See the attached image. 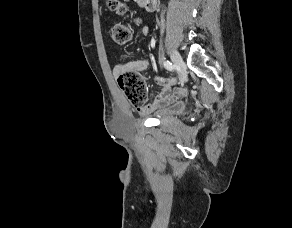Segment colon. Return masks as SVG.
I'll use <instances>...</instances> for the list:
<instances>
[{
    "instance_id": "obj_1",
    "label": "colon",
    "mask_w": 292,
    "mask_h": 228,
    "mask_svg": "<svg viewBox=\"0 0 292 228\" xmlns=\"http://www.w3.org/2000/svg\"><path fill=\"white\" fill-rule=\"evenodd\" d=\"M108 7L119 14H123L128 10L126 0H107ZM132 29L128 24L117 23L110 27L109 36L111 41L116 45H124L130 39ZM119 87L126 95L129 102L140 108L144 106L147 91L143 77L136 71L129 70L120 74L117 78Z\"/></svg>"
}]
</instances>
